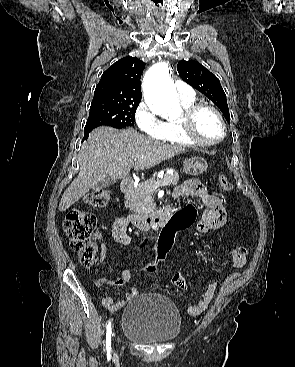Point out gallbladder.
Wrapping results in <instances>:
<instances>
[{"label":"gallbladder","instance_id":"bac80fb5","mask_svg":"<svg viewBox=\"0 0 295 367\" xmlns=\"http://www.w3.org/2000/svg\"><path fill=\"white\" fill-rule=\"evenodd\" d=\"M116 181L111 179V178H106L104 180L99 181L94 187L93 189L95 190H101L103 188H107L111 185H113Z\"/></svg>","mask_w":295,"mask_h":367}]
</instances>
